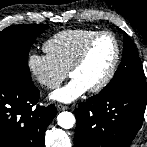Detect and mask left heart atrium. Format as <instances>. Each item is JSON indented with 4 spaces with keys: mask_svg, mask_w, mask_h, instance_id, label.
I'll return each mask as SVG.
<instances>
[{
    "mask_svg": "<svg viewBox=\"0 0 147 147\" xmlns=\"http://www.w3.org/2000/svg\"><path fill=\"white\" fill-rule=\"evenodd\" d=\"M88 87L77 78H71V80L64 86L56 89L50 95L53 101L61 103H71L81 97Z\"/></svg>",
    "mask_w": 147,
    "mask_h": 147,
    "instance_id": "left-heart-atrium-1",
    "label": "left heart atrium"
}]
</instances>
